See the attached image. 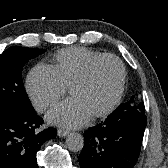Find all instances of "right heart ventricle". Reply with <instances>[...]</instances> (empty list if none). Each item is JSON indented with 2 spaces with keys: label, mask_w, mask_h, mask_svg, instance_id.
Segmentation results:
<instances>
[{
  "label": "right heart ventricle",
  "mask_w": 168,
  "mask_h": 168,
  "mask_svg": "<svg viewBox=\"0 0 168 168\" xmlns=\"http://www.w3.org/2000/svg\"><path fill=\"white\" fill-rule=\"evenodd\" d=\"M100 55H102L101 52L85 47L62 49L54 56V67L65 86H70L85 66Z\"/></svg>",
  "instance_id": "obj_1"
}]
</instances>
